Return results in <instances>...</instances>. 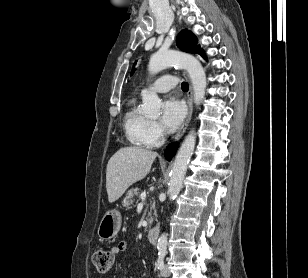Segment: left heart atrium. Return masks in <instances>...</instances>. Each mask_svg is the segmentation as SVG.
<instances>
[{
    "label": "left heart atrium",
    "mask_w": 308,
    "mask_h": 278,
    "mask_svg": "<svg viewBox=\"0 0 308 278\" xmlns=\"http://www.w3.org/2000/svg\"><path fill=\"white\" fill-rule=\"evenodd\" d=\"M185 114L184 104L177 99L170 98L163 104L161 124L167 131L173 132L182 124Z\"/></svg>",
    "instance_id": "1"
}]
</instances>
